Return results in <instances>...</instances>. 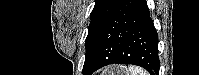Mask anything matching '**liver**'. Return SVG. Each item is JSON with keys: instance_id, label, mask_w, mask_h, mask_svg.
<instances>
[{"instance_id": "liver-1", "label": "liver", "mask_w": 199, "mask_h": 75, "mask_svg": "<svg viewBox=\"0 0 199 75\" xmlns=\"http://www.w3.org/2000/svg\"><path fill=\"white\" fill-rule=\"evenodd\" d=\"M115 71L112 72H105V75H114Z\"/></svg>"}]
</instances>
